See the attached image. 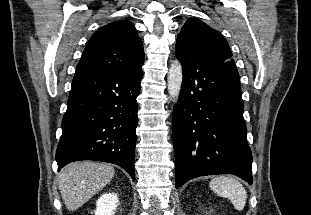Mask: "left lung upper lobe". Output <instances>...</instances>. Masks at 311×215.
<instances>
[{"label": "left lung upper lobe", "instance_id": "5c2ea615", "mask_svg": "<svg viewBox=\"0 0 311 215\" xmlns=\"http://www.w3.org/2000/svg\"><path fill=\"white\" fill-rule=\"evenodd\" d=\"M177 40L219 63L231 74L239 78L227 41L220 32L212 29L204 22L195 18L188 19L178 34Z\"/></svg>", "mask_w": 311, "mask_h": 215}]
</instances>
